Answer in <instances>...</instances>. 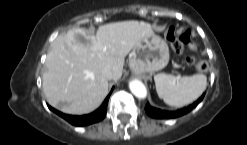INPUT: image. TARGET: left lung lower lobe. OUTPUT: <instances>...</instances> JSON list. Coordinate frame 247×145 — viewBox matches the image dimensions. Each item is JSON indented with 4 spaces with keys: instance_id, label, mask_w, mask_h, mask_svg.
Segmentation results:
<instances>
[{
    "instance_id": "0a47b994",
    "label": "left lung lower lobe",
    "mask_w": 247,
    "mask_h": 145,
    "mask_svg": "<svg viewBox=\"0 0 247 145\" xmlns=\"http://www.w3.org/2000/svg\"><path fill=\"white\" fill-rule=\"evenodd\" d=\"M204 95L205 94H203L196 102H194L192 105L188 106L187 108H184V109H181L175 112L160 110V109L151 107L149 104L145 106V111L149 116L153 118H176V117H179L181 115H184L190 112L194 107L198 105V103L202 101V99L204 98Z\"/></svg>"
}]
</instances>
